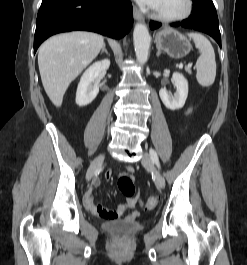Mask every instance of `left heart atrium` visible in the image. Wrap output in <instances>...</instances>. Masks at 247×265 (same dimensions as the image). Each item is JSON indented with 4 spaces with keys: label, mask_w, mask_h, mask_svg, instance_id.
Returning <instances> with one entry per match:
<instances>
[{
    "label": "left heart atrium",
    "mask_w": 247,
    "mask_h": 265,
    "mask_svg": "<svg viewBox=\"0 0 247 265\" xmlns=\"http://www.w3.org/2000/svg\"><path fill=\"white\" fill-rule=\"evenodd\" d=\"M140 5L155 8L159 0H136Z\"/></svg>",
    "instance_id": "obj_1"
}]
</instances>
